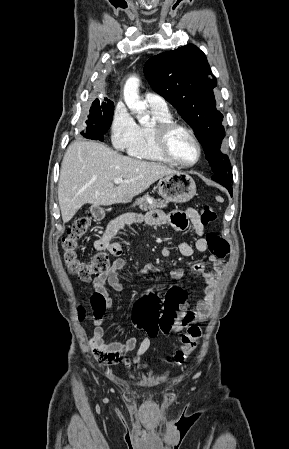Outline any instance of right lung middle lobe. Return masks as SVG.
<instances>
[{
  "label": "right lung middle lobe",
  "mask_w": 289,
  "mask_h": 449,
  "mask_svg": "<svg viewBox=\"0 0 289 449\" xmlns=\"http://www.w3.org/2000/svg\"><path fill=\"white\" fill-rule=\"evenodd\" d=\"M113 113L114 104L112 101L96 99L90 108L86 132L81 134L88 139L103 141L105 133L110 128Z\"/></svg>",
  "instance_id": "1"
}]
</instances>
